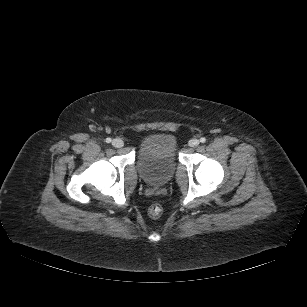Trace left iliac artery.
I'll list each match as a JSON object with an SVG mask.
<instances>
[{"mask_svg": "<svg viewBox=\"0 0 307 307\" xmlns=\"http://www.w3.org/2000/svg\"><path fill=\"white\" fill-rule=\"evenodd\" d=\"M200 142L201 143H205L206 142V138L205 137L200 138Z\"/></svg>", "mask_w": 307, "mask_h": 307, "instance_id": "obj_1", "label": "left iliac artery"}]
</instances>
